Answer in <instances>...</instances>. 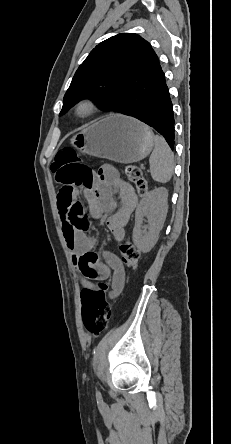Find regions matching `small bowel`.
I'll return each instance as SVG.
<instances>
[{
  "label": "small bowel",
  "mask_w": 231,
  "mask_h": 444,
  "mask_svg": "<svg viewBox=\"0 0 231 444\" xmlns=\"http://www.w3.org/2000/svg\"><path fill=\"white\" fill-rule=\"evenodd\" d=\"M90 213L94 218L107 216L106 225L114 237L121 241L125 227L137 203L133 187L125 182L119 172L110 165L102 166L95 179L83 186ZM115 197L118 198L117 204ZM77 204L75 188L63 186L58 193V208L62 230L74 258L78 273L85 289H95V282L112 278L113 294H118L124 286L125 270L122 260L114 253L94 251V241L86 233L77 230L72 216V208Z\"/></svg>",
  "instance_id": "obj_1"
}]
</instances>
